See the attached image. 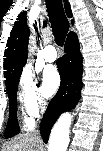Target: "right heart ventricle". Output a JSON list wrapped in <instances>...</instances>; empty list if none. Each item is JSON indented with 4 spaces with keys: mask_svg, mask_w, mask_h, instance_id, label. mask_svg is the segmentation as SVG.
Wrapping results in <instances>:
<instances>
[{
    "mask_svg": "<svg viewBox=\"0 0 103 151\" xmlns=\"http://www.w3.org/2000/svg\"><path fill=\"white\" fill-rule=\"evenodd\" d=\"M23 123H24V127L26 129H30L33 125L32 119L28 118L27 116H26V118H24Z\"/></svg>",
    "mask_w": 103,
    "mask_h": 151,
    "instance_id": "e07e8e85",
    "label": "right heart ventricle"
}]
</instances>
